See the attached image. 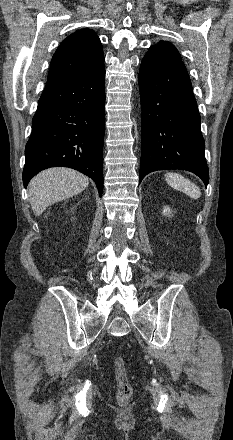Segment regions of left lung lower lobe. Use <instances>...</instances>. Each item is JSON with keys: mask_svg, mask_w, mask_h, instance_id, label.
Listing matches in <instances>:
<instances>
[{"mask_svg": "<svg viewBox=\"0 0 233 440\" xmlns=\"http://www.w3.org/2000/svg\"><path fill=\"white\" fill-rule=\"evenodd\" d=\"M142 151L139 183L150 172L182 169L207 186L209 172L200 115L184 63L147 52L139 70Z\"/></svg>", "mask_w": 233, "mask_h": 440, "instance_id": "left-lung-lower-lobe-1", "label": "left lung lower lobe"}]
</instances>
